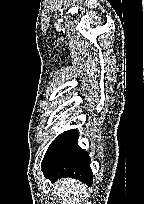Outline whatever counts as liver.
Returning a JSON list of instances; mask_svg holds the SVG:
<instances>
[{
	"label": "liver",
	"mask_w": 144,
	"mask_h": 204,
	"mask_svg": "<svg viewBox=\"0 0 144 204\" xmlns=\"http://www.w3.org/2000/svg\"><path fill=\"white\" fill-rule=\"evenodd\" d=\"M55 193L62 199V204H78V198L86 194V185L72 178H63L55 184Z\"/></svg>",
	"instance_id": "6515ba94"
}]
</instances>
